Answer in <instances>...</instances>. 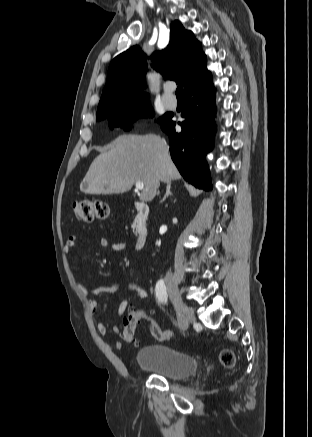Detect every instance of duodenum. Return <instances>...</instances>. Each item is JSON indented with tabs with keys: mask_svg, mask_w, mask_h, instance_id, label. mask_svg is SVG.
I'll return each mask as SVG.
<instances>
[{
	"mask_svg": "<svg viewBox=\"0 0 312 437\" xmlns=\"http://www.w3.org/2000/svg\"><path fill=\"white\" fill-rule=\"evenodd\" d=\"M135 210L134 226L137 232L135 247L138 251H141L145 248L148 239L146 223L149 216V207L146 203L138 201L135 203Z\"/></svg>",
	"mask_w": 312,
	"mask_h": 437,
	"instance_id": "410a0bca",
	"label": "duodenum"
}]
</instances>
